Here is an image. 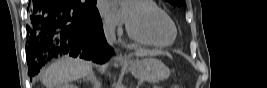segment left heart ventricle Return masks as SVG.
Returning a JSON list of instances; mask_svg holds the SVG:
<instances>
[{
	"label": "left heart ventricle",
	"instance_id": "b2bd125f",
	"mask_svg": "<svg viewBox=\"0 0 267 88\" xmlns=\"http://www.w3.org/2000/svg\"><path fill=\"white\" fill-rule=\"evenodd\" d=\"M127 23L135 31L155 40L169 42L174 35L170 21L133 2L126 6Z\"/></svg>",
	"mask_w": 267,
	"mask_h": 88
}]
</instances>
